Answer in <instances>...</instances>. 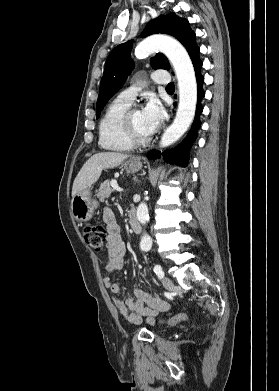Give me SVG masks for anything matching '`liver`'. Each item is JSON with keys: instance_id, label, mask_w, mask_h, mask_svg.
Segmentation results:
<instances>
[{"instance_id": "6515ba94", "label": "liver", "mask_w": 279, "mask_h": 391, "mask_svg": "<svg viewBox=\"0 0 279 391\" xmlns=\"http://www.w3.org/2000/svg\"><path fill=\"white\" fill-rule=\"evenodd\" d=\"M127 158L128 155L116 152H101L91 156L74 180L72 198L97 182L103 169L116 168Z\"/></svg>"}]
</instances>
